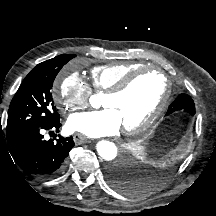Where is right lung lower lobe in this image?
<instances>
[{
    "instance_id": "98d812e1",
    "label": "right lung lower lobe",
    "mask_w": 216,
    "mask_h": 216,
    "mask_svg": "<svg viewBox=\"0 0 216 216\" xmlns=\"http://www.w3.org/2000/svg\"><path fill=\"white\" fill-rule=\"evenodd\" d=\"M60 126L57 120L50 125L15 129L6 133L5 140L2 135L3 143L21 169L37 178H51L63 170L74 146L72 137L43 139V130L59 131Z\"/></svg>"
}]
</instances>
